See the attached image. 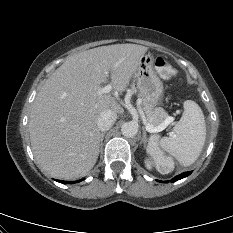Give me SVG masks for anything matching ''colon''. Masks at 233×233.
Returning <instances> with one entry per match:
<instances>
[{
  "label": "colon",
  "mask_w": 233,
  "mask_h": 233,
  "mask_svg": "<svg viewBox=\"0 0 233 233\" xmlns=\"http://www.w3.org/2000/svg\"><path fill=\"white\" fill-rule=\"evenodd\" d=\"M155 68L159 76L165 80L172 79L177 73L176 69L172 67L163 57H157L155 59ZM147 152L158 171L167 174L174 170L175 162L161 149L158 136L155 135L151 137Z\"/></svg>",
  "instance_id": "colon-1"
}]
</instances>
